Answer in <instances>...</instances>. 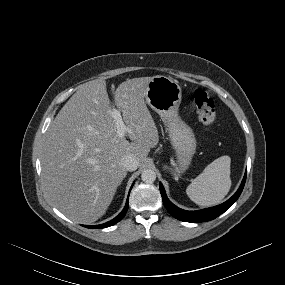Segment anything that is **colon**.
Here are the masks:
<instances>
[{
    "mask_svg": "<svg viewBox=\"0 0 285 285\" xmlns=\"http://www.w3.org/2000/svg\"><path fill=\"white\" fill-rule=\"evenodd\" d=\"M193 102L198 120L204 125H213L216 122V104L214 99L205 91L197 89L193 95Z\"/></svg>",
    "mask_w": 285,
    "mask_h": 285,
    "instance_id": "obj_1",
    "label": "colon"
}]
</instances>
